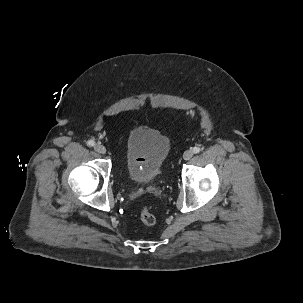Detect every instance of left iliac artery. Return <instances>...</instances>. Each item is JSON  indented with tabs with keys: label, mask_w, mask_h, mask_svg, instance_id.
I'll return each instance as SVG.
<instances>
[{
	"label": "left iliac artery",
	"mask_w": 303,
	"mask_h": 303,
	"mask_svg": "<svg viewBox=\"0 0 303 303\" xmlns=\"http://www.w3.org/2000/svg\"><path fill=\"white\" fill-rule=\"evenodd\" d=\"M200 151H201V149L199 147H194L193 148V152L196 153V154L199 153Z\"/></svg>",
	"instance_id": "obj_1"
}]
</instances>
